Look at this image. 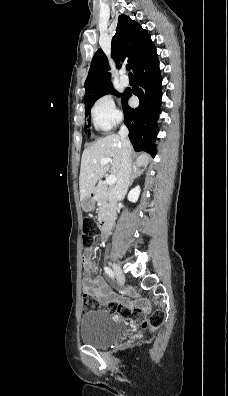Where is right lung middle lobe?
I'll return each instance as SVG.
<instances>
[{
  "label": "right lung middle lobe",
  "instance_id": "right-lung-middle-lobe-1",
  "mask_svg": "<svg viewBox=\"0 0 228 396\" xmlns=\"http://www.w3.org/2000/svg\"><path fill=\"white\" fill-rule=\"evenodd\" d=\"M106 94H114V95H117L118 97H121V98L123 97V94H119L117 91H115L113 89L112 86H110L108 88H105V89L93 94L87 101H85V116L88 115V112L91 109V107L93 106L94 102L97 99H99L100 97H102L103 95H106ZM86 121L88 122V124L90 126V118L89 117L86 118ZM87 127L88 126H85V129Z\"/></svg>",
  "mask_w": 228,
  "mask_h": 396
}]
</instances>
